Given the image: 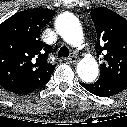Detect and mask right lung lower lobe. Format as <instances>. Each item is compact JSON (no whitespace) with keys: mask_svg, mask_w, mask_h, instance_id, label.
Returning a JSON list of instances; mask_svg holds the SVG:
<instances>
[{"mask_svg":"<svg viewBox=\"0 0 127 127\" xmlns=\"http://www.w3.org/2000/svg\"><path fill=\"white\" fill-rule=\"evenodd\" d=\"M50 79V76L41 83H35V84H28V83H16V84H6L2 87L6 89L9 92L15 93V94H27L30 93L39 87L45 85Z\"/></svg>","mask_w":127,"mask_h":127,"instance_id":"right-lung-lower-lobe-1","label":"right lung lower lobe"}]
</instances>
